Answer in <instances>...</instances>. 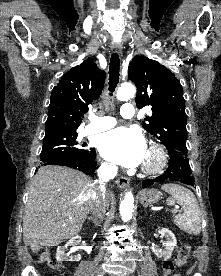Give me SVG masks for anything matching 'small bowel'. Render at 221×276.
Returning a JSON list of instances; mask_svg holds the SVG:
<instances>
[{
    "label": "small bowel",
    "mask_w": 221,
    "mask_h": 276,
    "mask_svg": "<svg viewBox=\"0 0 221 276\" xmlns=\"http://www.w3.org/2000/svg\"><path fill=\"white\" fill-rule=\"evenodd\" d=\"M173 276H181L180 274H174Z\"/></svg>",
    "instance_id": "c3829d8e"
}]
</instances>
